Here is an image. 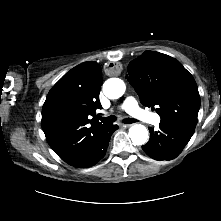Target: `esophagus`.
I'll list each match as a JSON object with an SVG mask.
<instances>
[{"mask_svg":"<svg viewBox=\"0 0 221 221\" xmlns=\"http://www.w3.org/2000/svg\"><path fill=\"white\" fill-rule=\"evenodd\" d=\"M123 127L128 128L130 126H132V124H122Z\"/></svg>","mask_w":221,"mask_h":221,"instance_id":"1","label":"esophagus"}]
</instances>
